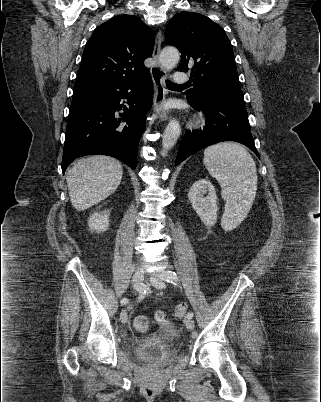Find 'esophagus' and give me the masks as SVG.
Instances as JSON below:
<instances>
[{
    "label": "esophagus",
    "mask_w": 321,
    "mask_h": 402,
    "mask_svg": "<svg viewBox=\"0 0 321 402\" xmlns=\"http://www.w3.org/2000/svg\"><path fill=\"white\" fill-rule=\"evenodd\" d=\"M161 43H162V32L159 31L155 38V46L152 55L154 64L151 68V75L155 89L154 100H153V111L161 121H167L168 116L163 107L167 95V89L165 87V79L167 74L165 69L161 65L159 59Z\"/></svg>",
    "instance_id": "1"
}]
</instances>
